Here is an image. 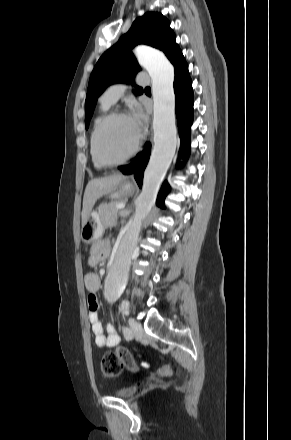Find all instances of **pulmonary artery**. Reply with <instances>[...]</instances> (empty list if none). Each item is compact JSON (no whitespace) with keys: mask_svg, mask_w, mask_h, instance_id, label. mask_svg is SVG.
Listing matches in <instances>:
<instances>
[{"mask_svg":"<svg viewBox=\"0 0 291 440\" xmlns=\"http://www.w3.org/2000/svg\"><path fill=\"white\" fill-rule=\"evenodd\" d=\"M136 84L140 85V86H144L146 85V83L148 82V76L145 73H139L136 76L135 79ZM126 90V84L125 83H116L113 85H110L101 95L100 97V101L107 105V106H112L114 105L119 98L123 95V93Z\"/></svg>","mask_w":291,"mask_h":440,"instance_id":"pulmonary-artery-1","label":"pulmonary artery"}]
</instances>
